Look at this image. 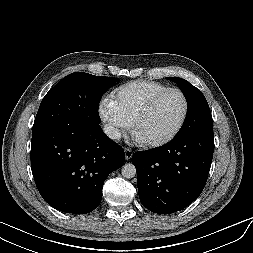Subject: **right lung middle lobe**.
<instances>
[{
	"label": "right lung middle lobe",
	"instance_id": "right-lung-middle-lobe-1",
	"mask_svg": "<svg viewBox=\"0 0 253 253\" xmlns=\"http://www.w3.org/2000/svg\"><path fill=\"white\" fill-rule=\"evenodd\" d=\"M117 81L84 72L67 75L43 98L32 134L77 124L99 125V101Z\"/></svg>",
	"mask_w": 253,
	"mask_h": 253
}]
</instances>
